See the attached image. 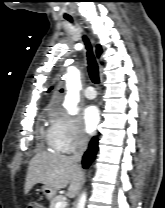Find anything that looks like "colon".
Wrapping results in <instances>:
<instances>
[{
    "mask_svg": "<svg viewBox=\"0 0 165 208\" xmlns=\"http://www.w3.org/2000/svg\"><path fill=\"white\" fill-rule=\"evenodd\" d=\"M27 208H43V206L36 201L30 202Z\"/></svg>",
    "mask_w": 165,
    "mask_h": 208,
    "instance_id": "colon-1",
    "label": "colon"
}]
</instances>
